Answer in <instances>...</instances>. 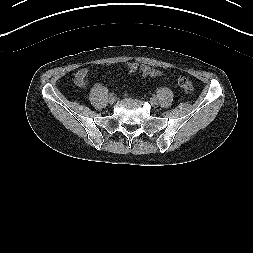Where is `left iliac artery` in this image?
Returning <instances> with one entry per match:
<instances>
[{
  "mask_svg": "<svg viewBox=\"0 0 253 253\" xmlns=\"http://www.w3.org/2000/svg\"><path fill=\"white\" fill-rule=\"evenodd\" d=\"M151 98L157 100L159 98V95L157 93H154L151 95Z\"/></svg>",
  "mask_w": 253,
  "mask_h": 253,
  "instance_id": "left-iliac-artery-1",
  "label": "left iliac artery"
}]
</instances>
